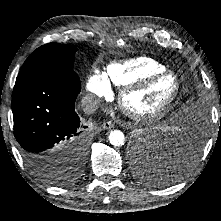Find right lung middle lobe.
Listing matches in <instances>:
<instances>
[{
    "label": "right lung middle lobe",
    "instance_id": "dd1d6c3e",
    "mask_svg": "<svg viewBox=\"0 0 221 221\" xmlns=\"http://www.w3.org/2000/svg\"><path fill=\"white\" fill-rule=\"evenodd\" d=\"M76 51L74 46L58 43H48L37 48L21 68L16 78L14 91H18L41 78L72 76L78 79V75L73 71ZM43 178L55 184L65 182L53 174L44 175Z\"/></svg>",
    "mask_w": 221,
    "mask_h": 221
}]
</instances>
